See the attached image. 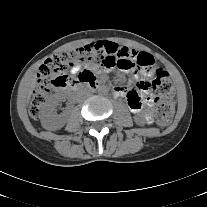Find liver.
Wrapping results in <instances>:
<instances>
[{
    "label": "liver",
    "mask_w": 207,
    "mask_h": 207,
    "mask_svg": "<svg viewBox=\"0 0 207 207\" xmlns=\"http://www.w3.org/2000/svg\"><path fill=\"white\" fill-rule=\"evenodd\" d=\"M36 73H33L26 82V85L23 90L24 98L28 101L32 95V92L36 86Z\"/></svg>",
    "instance_id": "1"
}]
</instances>
